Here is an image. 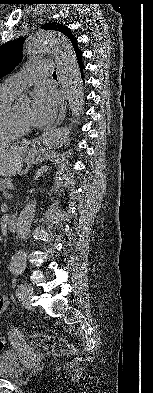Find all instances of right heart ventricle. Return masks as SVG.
Returning a JSON list of instances; mask_svg holds the SVG:
<instances>
[{"mask_svg": "<svg viewBox=\"0 0 153 393\" xmlns=\"http://www.w3.org/2000/svg\"><path fill=\"white\" fill-rule=\"evenodd\" d=\"M17 94L5 86H0V145L18 138V133L11 121L12 103Z\"/></svg>", "mask_w": 153, "mask_h": 393, "instance_id": "e07e8e85", "label": "right heart ventricle"}]
</instances>
